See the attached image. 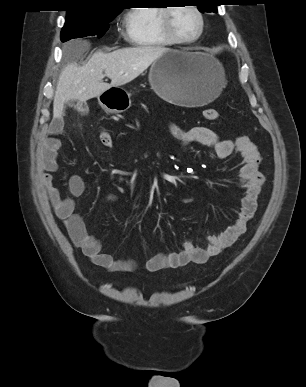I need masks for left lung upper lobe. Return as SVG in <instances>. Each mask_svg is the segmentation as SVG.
<instances>
[{
	"mask_svg": "<svg viewBox=\"0 0 306 387\" xmlns=\"http://www.w3.org/2000/svg\"><path fill=\"white\" fill-rule=\"evenodd\" d=\"M199 11L204 12H217V6L220 0H194Z\"/></svg>",
	"mask_w": 306,
	"mask_h": 387,
	"instance_id": "1",
	"label": "left lung upper lobe"
}]
</instances>
